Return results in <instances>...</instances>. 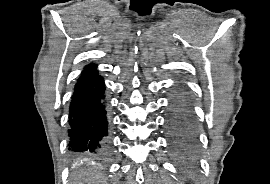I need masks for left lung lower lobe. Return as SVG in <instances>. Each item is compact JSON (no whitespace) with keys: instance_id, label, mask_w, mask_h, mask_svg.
Wrapping results in <instances>:
<instances>
[{"instance_id":"left-lung-lower-lobe-1","label":"left lung lower lobe","mask_w":270,"mask_h":184,"mask_svg":"<svg viewBox=\"0 0 270 184\" xmlns=\"http://www.w3.org/2000/svg\"><path fill=\"white\" fill-rule=\"evenodd\" d=\"M166 130L176 158L193 160L197 157V127L190 98L184 89H179L171 101Z\"/></svg>"}]
</instances>
